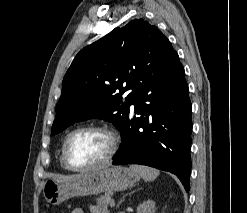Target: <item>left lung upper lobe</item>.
<instances>
[{
	"mask_svg": "<svg viewBox=\"0 0 247 213\" xmlns=\"http://www.w3.org/2000/svg\"><path fill=\"white\" fill-rule=\"evenodd\" d=\"M174 51L157 27L143 19L116 27L82 49L64 76L52 134L92 118L112 122L121 131L129 120L138 86ZM129 89L132 92L123 97Z\"/></svg>",
	"mask_w": 247,
	"mask_h": 213,
	"instance_id": "left-lung-upper-lobe-1",
	"label": "left lung upper lobe"
}]
</instances>
